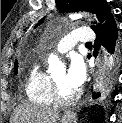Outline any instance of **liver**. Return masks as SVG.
<instances>
[{"label": "liver", "mask_w": 122, "mask_h": 123, "mask_svg": "<svg viewBox=\"0 0 122 123\" xmlns=\"http://www.w3.org/2000/svg\"><path fill=\"white\" fill-rule=\"evenodd\" d=\"M59 111L57 108L21 104L11 117V123H57Z\"/></svg>", "instance_id": "liver-1"}]
</instances>
